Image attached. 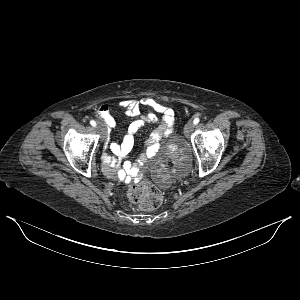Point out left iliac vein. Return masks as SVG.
Instances as JSON below:
<instances>
[{
	"label": "left iliac vein",
	"instance_id": "obj_1",
	"mask_svg": "<svg viewBox=\"0 0 300 300\" xmlns=\"http://www.w3.org/2000/svg\"><path fill=\"white\" fill-rule=\"evenodd\" d=\"M193 129H194V123L192 120H189L184 127L185 135L189 136L192 133Z\"/></svg>",
	"mask_w": 300,
	"mask_h": 300
}]
</instances>
